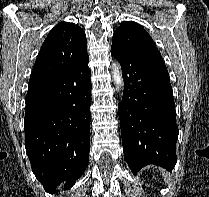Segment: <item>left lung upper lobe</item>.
<instances>
[{
  "label": "left lung upper lobe",
  "instance_id": "obj_1",
  "mask_svg": "<svg viewBox=\"0 0 209 197\" xmlns=\"http://www.w3.org/2000/svg\"><path fill=\"white\" fill-rule=\"evenodd\" d=\"M112 47L164 63L153 39L142 26L133 21H126L117 28L113 35Z\"/></svg>",
  "mask_w": 209,
  "mask_h": 197
}]
</instances>
